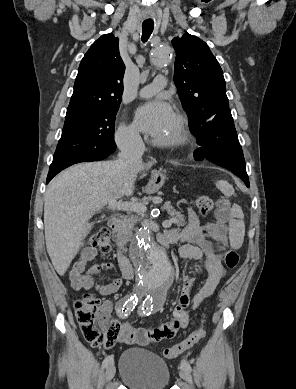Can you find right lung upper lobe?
<instances>
[{
  "label": "right lung upper lobe",
  "instance_id": "1",
  "mask_svg": "<svg viewBox=\"0 0 296 389\" xmlns=\"http://www.w3.org/2000/svg\"><path fill=\"white\" fill-rule=\"evenodd\" d=\"M124 72L118 38L113 34L101 36L91 45L80 63L66 119L99 108L119 106Z\"/></svg>",
  "mask_w": 296,
  "mask_h": 389
}]
</instances>
